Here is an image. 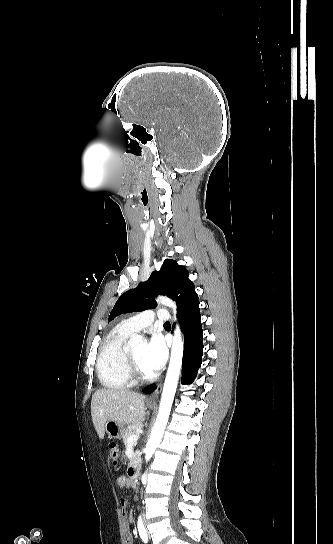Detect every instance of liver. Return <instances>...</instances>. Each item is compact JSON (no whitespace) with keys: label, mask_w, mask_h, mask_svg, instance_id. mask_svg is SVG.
<instances>
[{"label":"liver","mask_w":333,"mask_h":544,"mask_svg":"<svg viewBox=\"0 0 333 544\" xmlns=\"http://www.w3.org/2000/svg\"><path fill=\"white\" fill-rule=\"evenodd\" d=\"M145 396L126 389H99L91 401V416L100 439L104 438L105 423L135 424L145 415Z\"/></svg>","instance_id":"liver-1"}]
</instances>
